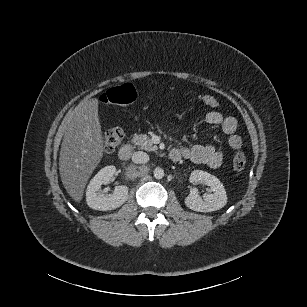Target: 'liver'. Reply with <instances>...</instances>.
I'll use <instances>...</instances> for the list:
<instances>
[{"mask_svg": "<svg viewBox=\"0 0 307 307\" xmlns=\"http://www.w3.org/2000/svg\"><path fill=\"white\" fill-rule=\"evenodd\" d=\"M97 98L85 100L64 120L59 171L67 193L80 202L87 181L103 157Z\"/></svg>", "mask_w": 307, "mask_h": 307, "instance_id": "liver-1", "label": "liver"}]
</instances>
